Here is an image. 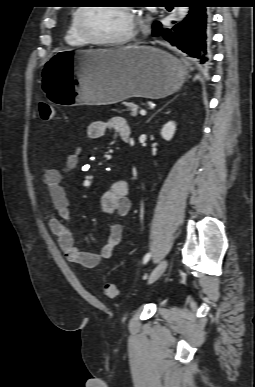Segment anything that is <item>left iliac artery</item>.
<instances>
[{
	"mask_svg": "<svg viewBox=\"0 0 255 387\" xmlns=\"http://www.w3.org/2000/svg\"><path fill=\"white\" fill-rule=\"evenodd\" d=\"M150 257H151V254H150V253H147V254L144 256V258H143V263L146 264V263L149 261Z\"/></svg>",
	"mask_w": 255,
	"mask_h": 387,
	"instance_id": "obj_1",
	"label": "left iliac artery"
}]
</instances>
